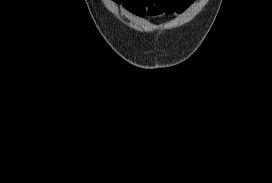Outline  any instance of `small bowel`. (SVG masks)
Listing matches in <instances>:
<instances>
[{"label": "small bowel", "mask_w": 272, "mask_h": 183, "mask_svg": "<svg viewBox=\"0 0 272 183\" xmlns=\"http://www.w3.org/2000/svg\"><path fill=\"white\" fill-rule=\"evenodd\" d=\"M127 11L140 16H158L163 13L182 12L192 0H114Z\"/></svg>", "instance_id": "1"}]
</instances>
